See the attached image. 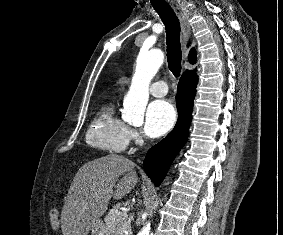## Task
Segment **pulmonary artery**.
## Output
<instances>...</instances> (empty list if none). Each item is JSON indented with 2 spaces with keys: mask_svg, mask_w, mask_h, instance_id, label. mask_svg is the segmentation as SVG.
<instances>
[{
  "mask_svg": "<svg viewBox=\"0 0 283 235\" xmlns=\"http://www.w3.org/2000/svg\"><path fill=\"white\" fill-rule=\"evenodd\" d=\"M149 92L151 95L155 97H164L168 92V87H167L166 82L156 81L152 83L149 88Z\"/></svg>",
  "mask_w": 283,
  "mask_h": 235,
  "instance_id": "obj_1",
  "label": "pulmonary artery"
}]
</instances>
